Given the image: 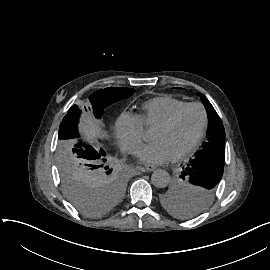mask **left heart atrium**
Instances as JSON below:
<instances>
[{
	"instance_id": "39dd6f15",
	"label": "left heart atrium",
	"mask_w": 270,
	"mask_h": 270,
	"mask_svg": "<svg viewBox=\"0 0 270 270\" xmlns=\"http://www.w3.org/2000/svg\"><path fill=\"white\" fill-rule=\"evenodd\" d=\"M177 154L165 141H154L143 148L139 154L140 162L147 167L166 165L173 162Z\"/></svg>"
}]
</instances>
